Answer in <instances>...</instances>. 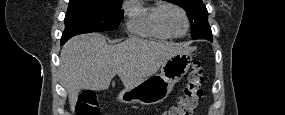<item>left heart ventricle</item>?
Returning a JSON list of instances; mask_svg holds the SVG:
<instances>
[{
	"label": "left heart ventricle",
	"instance_id": "1",
	"mask_svg": "<svg viewBox=\"0 0 285 115\" xmlns=\"http://www.w3.org/2000/svg\"><path fill=\"white\" fill-rule=\"evenodd\" d=\"M164 19L172 33L181 34L185 30V21L179 10L174 8L166 10Z\"/></svg>",
	"mask_w": 285,
	"mask_h": 115
}]
</instances>
